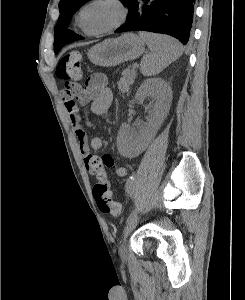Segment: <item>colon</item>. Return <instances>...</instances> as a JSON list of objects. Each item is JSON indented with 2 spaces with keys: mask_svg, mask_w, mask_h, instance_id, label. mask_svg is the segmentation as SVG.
<instances>
[{
  "mask_svg": "<svg viewBox=\"0 0 245 300\" xmlns=\"http://www.w3.org/2000/svg\"><path fill=\"white\" fill-rule=\"evenodd\" d=\"M56 75L64 83L62 92L64 99L72 98L77 94L81 89L79 81L82 77L80 53L71 51L65 54L58 62ZM93 197L102 213L118 215L121 212L120 203L112 200L109 190L93 189Z\"/></svg>",
  "mask_w": 245,
  "mask_h": 300,
  "instance_id": "5ec220e1",
  "label": "colon"
}]
</instances>
